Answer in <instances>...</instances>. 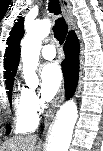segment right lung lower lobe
<instances>
[{
	"label": "right lung lower lobe",
	"mask_w": 103,
	"mask_h": 151,
	"mask_svg": "<svg viewBox=\"0 0 103 151\" xmlns=\"http://www.w3.org/2000/svg\"><path fill=\"white\" fill-rule=\"evenodd\" d=\"M65 60L62 71L65 78L66 97H71L75 91L79 75V43L76 37L70 38L64 45Z\"/></svg>",
	"instance_id": "right-lung-lower-lobe-1"
}]
</instances>
